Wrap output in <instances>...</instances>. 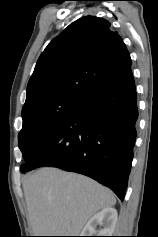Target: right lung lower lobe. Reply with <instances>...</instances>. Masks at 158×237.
<instances>
[{
    "label": "right lung lower lobe",
    "instance_id": "98d812e1",
    "mask_svg": "<svg viewBox=\"0 0 158 237\" xmlns=\"http://www.w3.org/2000/svg\"><path fill=\"white\" fill-rule=\"evenodd\" d=\"M131 68L95 90L39 147L22 172L54 166L84 174L123 201L136 140Z\"/></svg>",
    "mask_w": 158,
    "mask_h": 237
}]
</instances>
